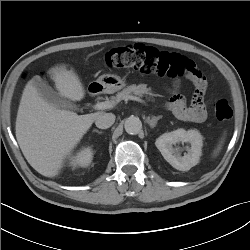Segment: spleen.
<instances>
[{
	"label": "spleen",
	"mask_w": 250,
	"mask_h": 250,
	"mask_svg": "<svg viewBox=\"0 0 250 250\" xmlns=\"http://www.w3.org/2000/svg\"><path fill=\"white\" fill-rule=\"evenodd\" d=\"M223 142H224V138L221 139V141L219 142L217 148L214 150V153H213V156H214V157L218 155L219 151H220L221 148H222Z\"/></svg>",
	"instance_id": "3e777b00"
}]
</instances>
